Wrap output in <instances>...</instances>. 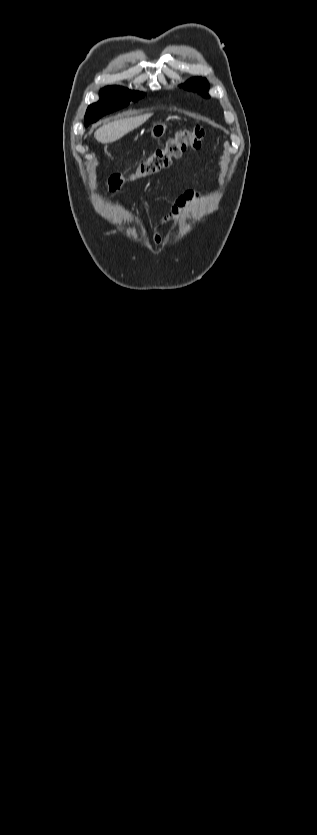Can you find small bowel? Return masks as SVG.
Returning a JSON list of instances; mask_svg holds the SVG:
<instances>
[{
    "instance_id": "c3829d8e",
    "label": "small bowel",
    "mask_w": 317,
    "mask_h": 835,
    "mask_svg": "<svg viewBox=\"0 0 317 835\" xmlns=\"http://www.w3.org/2000/svg\"><path fill=\"white\" fill-rule=\"evenodd\" d=\"M199 201H200L199 194L197 192L193 191V190H187L182 195H180L177 198L175 204L173 205L170 213L168 215H166L165 217H163L161 219V221L155 226V228H154V230L151 234V241L155 245L160 244L161 243V236H160L159 231H158L159 228L163 224L169 222L170 220H172L173 218L178 216L180 214V212L187 207V205H189V204L190 205H196L197 203H199Z\"/></svg>"
}]
</instances>
